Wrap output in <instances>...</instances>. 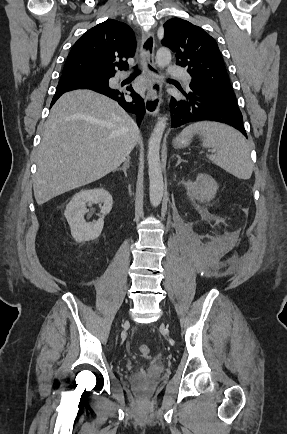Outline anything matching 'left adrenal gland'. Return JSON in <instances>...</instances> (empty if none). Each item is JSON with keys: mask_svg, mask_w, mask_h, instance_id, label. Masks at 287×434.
<instances>
[{"mask_svg": "<svg viewBox=\"0 0 287 434\" xmlns=\"http://www.w3.org/2000/svg\"><path fill=\"white\" fill-rule=\"evenodd\" d=\"M176 157L178 159L176 166H178L181 162H186L185 160L181 159V157L179 155H176Z\"/></svg>", "mask_w": 287, "mask_h": 434, "instance_id": "1", "label": "left adrenal gland"}]
</instances>
